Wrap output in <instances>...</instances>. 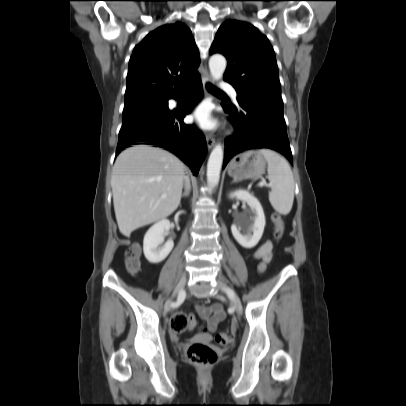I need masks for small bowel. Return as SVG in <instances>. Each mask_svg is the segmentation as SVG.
<instances>
[{"instance_id": "c3829d8e", "label": "small bowel", "mask_w": 406, "mask_h": 406, "mask_svg": "<svg viewBox=\"0 0 406 406\" xmlns=\"http://www.w3.org/2000/svg\"><path fill=\"white\" fill-rule=\"evenodd\" d=\"M253 258L259 260V272L264 271L266 265L272 258V243L269 240L265 241L255 250ZM196 309L203 320L206 321L207 330L210 332H215L219 322L225 317L223 307L220 303H213L211 306L197 305ZM173 337H177L175 332H173Z\"/></svg>"}]
</instances>
